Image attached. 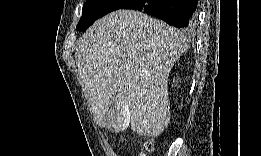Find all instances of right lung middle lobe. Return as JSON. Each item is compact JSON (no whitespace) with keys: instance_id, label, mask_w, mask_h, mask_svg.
Wrapping results in <instances>:
<instances>
[{"instance_id":"obj_1","label":"right lung middle lobe","mask_w":261,"mask_h":156,"mask_svg":"<svg viewBox=\"0 0 261 156\" xmlns=\"http://www.w3.org/2000/svg\"><path fill=\"white\" fill-rule=\"evenodd\" d=\"M129 0H86L83 6V15L76 30L85 31L97 19L106 13L119 9Z\"/></svg>"}]
</instances>
